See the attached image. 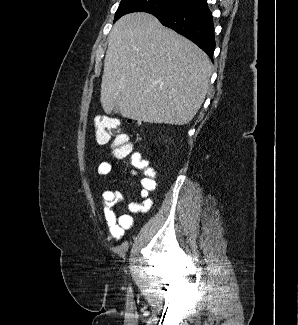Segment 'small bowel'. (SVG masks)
I'll return each instance as SVG.
<instances>
[{"instance_id": "1", "label": "small bowel", "mask_w": 298, "mask_h": 325, "mask_svg": "<svg viewBox=\"0 0 298 325\" xmlns=\"http://www.w3.org/2000/svg\"><path fill=\"white\" fill-rule=\"evenodd\" d=\"M113 169L110 161H103L98 166V174L100 177H107ZM141 201L130 202L127 205V213L118 214L115 206L122 201V194L117 190H105L102 193L103 214L108 227V239L119 241L123 238L125 231L131 229L134 225L132 214L146 213L153 206V199L150 195L156 189V170L149 167L143 172L140 180Z\"/></svg>"}]
</instances>
